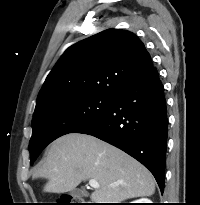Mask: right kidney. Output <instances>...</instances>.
<instances>
[{
	"instance_id": "ca27d5eb",
	"label": "right kidney",
	"mask_w": 200,
	"mask_h": 205,
	"mask_svg": "<svg viewBox=\"0 0 200 205\" xmlns=\"http://www.w3.org/2000/svg\"><path fill=\"white\" fill-rule=\"evenodd\" d=\"M131 203H152V201L148 198H140V199L133 201Z\"/></svg>"
}]
</instances>
